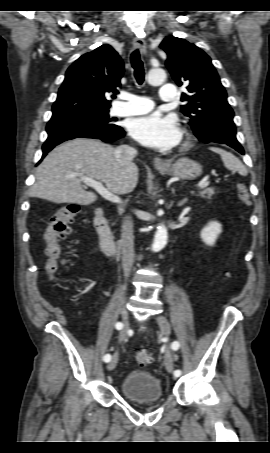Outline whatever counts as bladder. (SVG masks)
Returning a JSON list of instances; mask_svg holds the SVG:
<instances>
[{
  "label": "bladder",
  "mask_w": 270,
  "mask_h": 453,
  "mask_svg": "<svg viewBox=\"0 0 270 453\" xmlns=\"http://www.w3.org/2000/svg\"><path fill=\"white\" fill-rule=\"evenodd\" d=\"M122 395L135 403L157 402L164 397L160 380L146 371L133 370L120 383Z\"/></svg>",
  "instance_id": "bladder-1"
}]
</instances>
